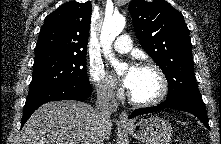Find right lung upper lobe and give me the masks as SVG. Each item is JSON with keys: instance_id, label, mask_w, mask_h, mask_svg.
<instances>
[{"instance_id": "right-lung-upper-lobe-1", "label": "right lung upper lobe", "mask_w": 221, "mask_h": 144, "mask_svg": "<svg viewBox=\"0 0 221 144\" xmlns=\"http://www.w3.org/2000/svg\"><path fill=\"white\" fill-rule=\"evenodd\" d=\"M91 3L67 2L50 13L41 28L35 54H86Z\"/></svg>"}]
</instances>
